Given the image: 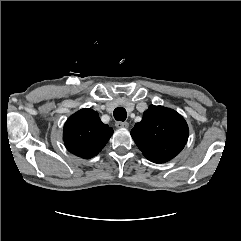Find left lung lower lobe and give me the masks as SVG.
<instances>
[{
    "label": "left lung lower lobe",
    "instance_id": "obj_1",
    "mask_svg": "<svg viewBox=\"0 0 241 241\" xmlns=\"http://www.w3.org/2000/svg\"><path fill=\"white\" fill-rule=\"evenodd\" d=\"M154 163H164L167 162V160H151Z\"/></svg>",
    "mask_w": 241,
    "mask_h": 241
}]
</instances>
